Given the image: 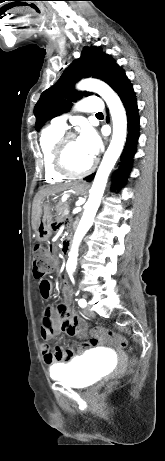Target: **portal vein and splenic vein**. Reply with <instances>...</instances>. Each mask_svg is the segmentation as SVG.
<instances>
[{
	"label": "portal vein and splenic vein",
	"instance_id": "18ae733b",
	"mask_svg": "<svg viewBox=\"0 0 165 461\" xmlns=\"http://www.w3.org/2000/svg\"><path fill=\"white\" fill-rule=\"evenodd\" d=\"M69 212H70L69 209H66V210L64 211V215L67 216V215L69 214Z\"/></svg>",
	"mask_w": 165,
	"mask_h": 461
}]
</instances>
